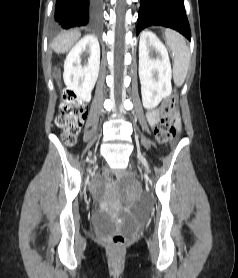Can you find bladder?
I'll list each match as a JSON object with an SVG mask.
<instances>
[{"label": "bladder", "instance_id": "bladder-1", "mask_svg": "<svg viewBox=\"0 0 238 278\" xmlns=\"http://www.w3.org/2000/svg\"><path fill=\"white\" fill-rule=\"evenodd\" d=\"M93 225L101 230H109L116 226V221L104 212H96L92 218Z\"/></svg>", "mask_w": 238, "mask_h": 278}]
</instances>
